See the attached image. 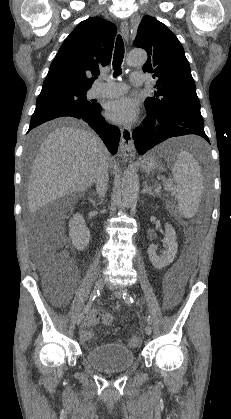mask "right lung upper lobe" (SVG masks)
Returning a JSON list of instances; mask_svg holds the SVG:
<instances>
[{
    "mask_svg": "<svg viewBox=\"0 0 231 419\" xmlns=\"http://www.w3.org/2000/svg\"><path fill=\"white\" fill-rule=\"evenodd\" d=\"M116 26L102 18H88L63 42L50 65L43 87L65 85L91 88L99 69L111 61Z\"/></svg>",
    "mask_w": 231,
    "mask_h": 419,
    "instance_id": "right-lung-upper-lobe-1",
    "label": "right lung upper lobe"
}]
</instances>
